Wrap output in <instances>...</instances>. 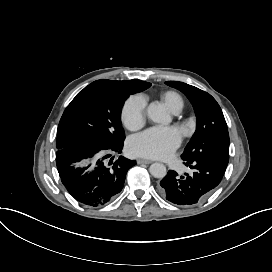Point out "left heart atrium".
I'll list each match as a JSON object with an SVG mask.
<instances>
[{"label":"left heart atrium","mask_w":272,"mask_h":272,"mask_svg":"<svg viewBox=\"0 0 272 272\" xmlns=\"http://www.w3.org/2000/svg\"><path fill=\"white\" fill-rule=\"evenodd\" d=\"M180 143L179 132L174 128L152 127L131 141L128 151L132 155L166 159Z\"/></svg>","instance_id":"39dd6f15"}]
</instances>
